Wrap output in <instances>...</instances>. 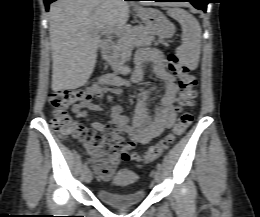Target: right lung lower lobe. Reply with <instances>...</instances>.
Returning a JSON list of instances; mask_svg holds the SVG:
<instances>
[{
    "label": "right lung lower lobe",
    "mask_w": 260,
    "mask_h": 217,
    "mask_svg": "<svg viewBox=\"0 0 260 217\" xmlns=\"http://www.w3.org/2000/svg\"><path fill=\"white\" fill-rule=\"evenodd\" d=\"M56 0H44V3H45V7H46V10L48 11L49 9V4L54 2ZM125 1H130V0H125Z\"/></svg>",
    "instance_id": "1"
}]
</instances>
